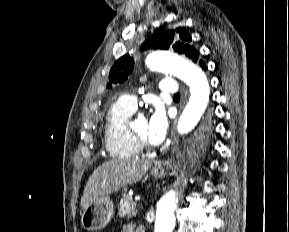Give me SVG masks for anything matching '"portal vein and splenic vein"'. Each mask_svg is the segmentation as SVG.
<instances>
[{"mask_svg":"<svg viewBox=\"0 0 289 232\" xmlns=\"http://www.w3.org/2000/svg\"><path fill=\"white\" fill-rule=\"evenodd\" d=\"M135 201H136V202H137V201H140V197H139V196L135 197Z\"/></svg>","mask_w":289,"mask_h":232,"instance_id":"1","label":"portal vein and splenic vein"}]
</instances>
